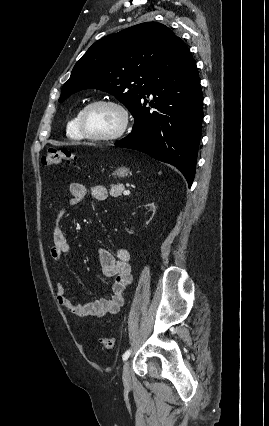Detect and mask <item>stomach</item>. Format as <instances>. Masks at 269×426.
<instances>
[{
    "mask_svg": "<svg viewBox=\"0 0 269 426\" xmlns=\"http://www.w3.org/2000/svg\"><path fill=\"white\" fill-rule=\"evenodd\" d=\"M130 173L129 169L126 167H120L115 172L114 175H117L119 177H125Z\"/></svg>",
    "mask_w": 269,
    "mask_h": 426,
    "instance_id": "stomach-1",
    "label": "stomach"
}]
</instances>
